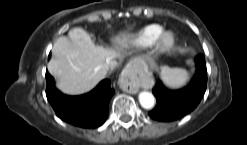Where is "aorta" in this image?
<instances>
[{"mask_svg":"<svg viewBox=\"0 0 247 145\" xmlns=\"http://www.w3.org/2000/svg\"><path fill=\"white\" fill-rule=\"evenodd\" d=\"M139 102L143 108L151 109L155 104V97L150 92L143 91L139 94Z\"/></svg>","mask_w":247,"mask_h":145,"instance_id":"1","label":"aorta"}]
</instances>
